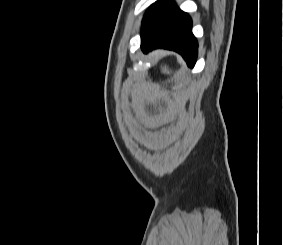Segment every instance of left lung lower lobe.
I'll return each mask as SVG.
<instances>
[{"mask_svg":"<svg viewBox=\"0 0 283 245\" xmlns=\"http://www.w3.org/2000/svg\"><path fill=\"white\" fill-rule=\"evenodd\" d=\"M191 29L189 15L173 4L148 32L141 35V49L145 53L155 48L174 50L193 67L198 44Z\"/></svg>","mask_w":283,"mask_h":245,"instance_id":"1","label":"left lung lower lobe"}]
</instances>
